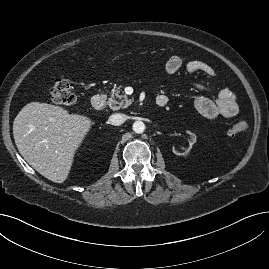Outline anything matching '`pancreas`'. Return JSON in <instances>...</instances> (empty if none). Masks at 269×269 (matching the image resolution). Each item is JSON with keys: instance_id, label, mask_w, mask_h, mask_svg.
Wrapping results in <instances>:
<instances>
[{"instance_id": "cf45deb5", "label": "pancreas", "mask_w": 269, "mask_h": 269, "mask_svg": "<svg viewBox=\"0 0 269 269\" xmlns=\"http://www.w3.org/2000/svg\"><path fill=\"white\" fill-rule=\"evenodd\" d=\"M121 93L122 90L119 87L112 90L111 97L107 101V104L112 110H119L121 108H126L131 105L132 100L128 99L126 95H122Z\"/></svg>"}]
</instances>
